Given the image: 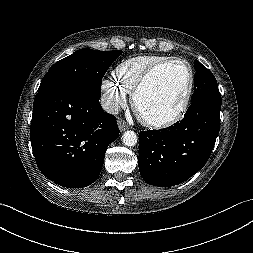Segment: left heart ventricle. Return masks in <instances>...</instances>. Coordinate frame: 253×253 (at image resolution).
Masks as SVG:
<instances>
[{
    "instance_id": "left-heart-ventricle-1",
    "label": "left heart ventricle",
    "mask_w": 253,
    "mask_h": 253,
    "mask_svg": "<svg viewBox=\"0 0 253 253\" xmlns=\"http://www.w3.org/2000/svg\"><path fill=\"white\" fill-rule=\"evenodd\" d=\"M189 83L188 71L173 64L157 71L138 96L136 110L141 118L166 119L180 108Z\"/></svg>"
}]
</instances>
